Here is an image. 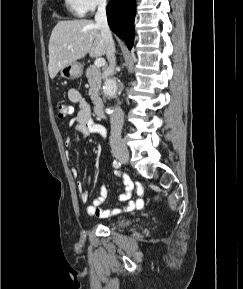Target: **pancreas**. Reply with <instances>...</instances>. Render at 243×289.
<instances>
[{
  "label": "pancreas",
  "mask_w": 243,
  "mask_h": 289,
  "mask_svg": "<svg viewBox=\"0 0 243 289\" xmlns=\"http://www.w3.org/2000/svg\"><path fill=\"white\" fill-rule=\"evenodd\" d=\"M86 77L90 85L89 95L93 103L99 101V90L101 88V71L95 66H90L86 69Z\"/></svg>",
  "instance_id": "cf45deb5"
}]
</instances>
